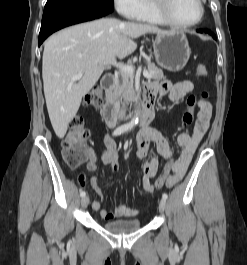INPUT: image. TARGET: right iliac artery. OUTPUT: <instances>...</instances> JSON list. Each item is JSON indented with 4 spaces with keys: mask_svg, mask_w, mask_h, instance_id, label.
I'll return each mask as SVG.
<instances>
[{
    "mask_svg": "<svg viewBox=\"0 0 247 265\" xmlns=\"http://www.w3.org/2000/svg\"><path fill=\"white\" fill-rule=\"evenodd\" d=\"M132 126H133V125L130 124V123H128V124H124V125L118 127V128L113 132V135H114V136H117V135H119V134H121V133H123V132H125V131H127V130H129V129H131ZM85 195H86L85 191H81L80 196H81V197H84Z\"/></svg>",
    "mask_w": 247,
    "mask_h": 265,
    "instance_id": "1",
    "label": "right iliac artery"
}]
</instances>
